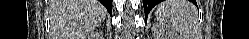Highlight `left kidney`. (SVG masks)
Wrapping results in <instances>:
<instances>
[{
    "label": "left kidney",
    "instance_id": "1",
    "mask_svg": "<svg viewBox=\"0 0 249 39\" xmlns=\"http://www.w3.org/2000/svg\"><path fill=\"white\" fill-rule=\"evenodd\" d=\"M159 39H170V35H164L162 37H159Z\"/></svg>",
    "mask_w": 249,
    "mask_h": 39
}]
</instances>
